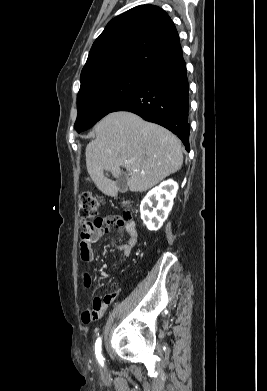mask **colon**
<instances>
[{
    "instance_id": "obj_1",
    "label": "colon",
    "mask_w": 267,
    "mask_h": 391,
    "mask_svg": "<svg viewBox=\"0 0 267 391\" xmlns=\"http://www.w3.org/2000/svg\"><path fill=\"white\" fill-rule=\"evenodd\" d=\"M101 202L102 198L100 196L90 192H83L80 195L78 200V215L82 224H88L90 221L97 223L101 220V217H99ZM130 215L131 211L127 210L122 216L117 217V220L123 224L129 221ZM80 248L84 251L88 250V240L86 237H81Z\"/></svg>"
}]
</instances>
